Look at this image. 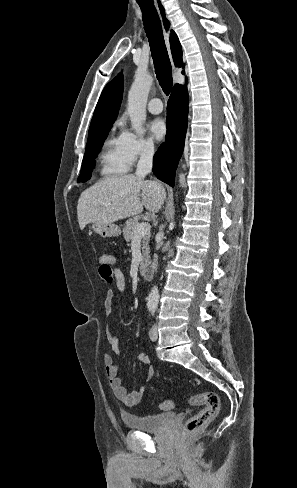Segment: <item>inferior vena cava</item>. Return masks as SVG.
I'll list each match as a JSON object with an SVG mask.
<instances>
[{
    "label": "inferior vena cava",
    "instance_id": "602c4592",
    "mask_svg": "<svg viewBox=\"0 0 297 488\" xmlns=\"http://www.w3.org/2000/svg\"><path fill=\"white\" fill-rule=\"evenodd\" d=\"M154 147L150 145H144L140 155V159L137 164L135 174L139 177H144L152 170Z\"/></svg>",
    "mask_w": 297,
    "mask_h": 488
}]
</instances>
